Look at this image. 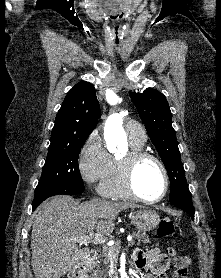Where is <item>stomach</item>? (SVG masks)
<instances>
[{"mask_svg":"<svg viewBox=\"0 0 221 278\" xmlns=\"http://www.w3.org/2000/svg\"><path fill=\"white\" fill-rule=\"evenodd\" d=\"M130 219L139 231H151L160 223L159 215L149 209H140L130 213Z\"/></svg>","mask_w":221,"mask_h":278,"instance_id":"stomach-1","label":"stomach"}]
</instances>
